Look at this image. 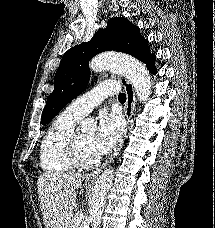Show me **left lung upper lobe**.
<instances>
[{
    "mask_svg": "<svg viewBox=\"0 0 215 228\" xmlns=\"http://www.w3.org/2000/svg\"><path fill=\"white\" fill-rule=\"evenodd\" d=\"M103 51L127 53L143 63L153 55L138 27L123 17L111 18L107 27L98 30L89 42L76 45L63 55L55 74L54 91L43 110V125L86 89L90 77L89 61Z\"/></svg>",
    "mask_w": 215,
    "mask_h": 228,
    "instance_id": "obj_1",
    "label": "left lung upper lobe"
}]
</instances>
